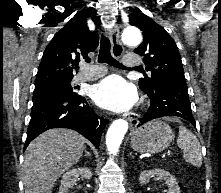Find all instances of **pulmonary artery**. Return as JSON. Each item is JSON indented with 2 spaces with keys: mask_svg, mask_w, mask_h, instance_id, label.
I'll return each instance as SVG.
<instances>
[{
  "mask_svg": "<svg viewBox=\"0 0 221 193\" xmlns=\"http://www.w3.org/2000/svg\"><path fill=\"white\" fill-rule=\"evenodd\" d=\"M123 62L127 66H135L141 63V58L137 54L126 55L123 58ZM96 68V70L87 69L77 74L73 78L72 83L76 85L87 81H93L100 77H103L107 73V70L104 67L96 66Z\"/></svg>",
  "mask_w": 221,
  "mask_h": 193,
  "instance_id": "e3ab8cb5",
  "label": "pulmonary artery"
}]
</instances>
